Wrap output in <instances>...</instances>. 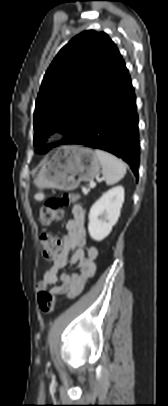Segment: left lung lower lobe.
Listing matches in <instances>:
<instances>
[{
	"label": "left lung lower lobe",
	"mask_w": 168,
	"mask_h": 406,
	"mask_svg": "<svg viewBox=\"0 0 168 406\" xmlns=\"http://www.w3.org/2000/svg\"><path fill=\"white\" fill-rule=\"evenodd\" d=\"M63 144L86 145L108 151L130 164L138 177V115L124 60L95 102L82 129Z\"/></svg>",
	"instance_id": "left-lung-lower-lobe-1"
}]
</instances>
